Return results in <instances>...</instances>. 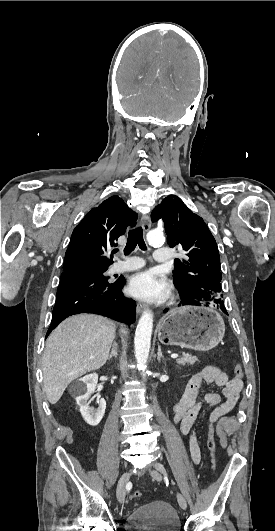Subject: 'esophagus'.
<instances>
[{"label":"esophagus","instance_id":"1","mask_svg":"<svg viewBox=\"0 0 275 531\" xmlns=\"http://www.w3.org/2000/svg\"><path fill=\"white\" fill-rule=\"evenodd\" d=\"M140 224H141V227L143 228L144 231H149L150 227H151V220L149 218V216L147 215H144L142 216L141 218V221H140ZM137 312L138 313H141L142 311L146 310L147 309V305L144 304V303H137Z\"/></svg>","mask_w":275,"mask_h":531}]
</instances>
